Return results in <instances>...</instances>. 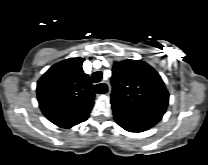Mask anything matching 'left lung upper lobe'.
I'll return each mask as SVG.
<instances>
[{"label": "left lung upper lobe", "instance_id": "5c2ea615", "mask_svg": "<svg viewBox=\"0 0 208 165\" xmlns=\"http://www.w3.org/2000/svg\"><path fill=\"white\" fill-rule=\"evenodd\" d=\"M111 83L114 118L150 128L162 119L169 94L150 65L141 60L115 62Z\"/></svg>", "mask_w": 208, "mask_h": 165}]
</instances>
